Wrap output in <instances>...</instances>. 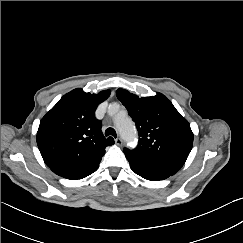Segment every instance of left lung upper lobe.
Returning <instances> with one entry per match:
<instances>
[{
  "instance_id": "1",
  "label": "left lung upper lobe",
  "mask_w": 243,
  "mask_h": 243,
  "mask_svg": "<svg viewBox=\"0 0 243 243\" xmlns=\"http://www.w3.org/2000/svg\"><path fill=\"white\" fill-rule=\"evenodd\" d=\"M117 98L136 123L139 142L134 154L184 164L193 144L190 124L161 93L139 98L125 89Z\"/></svg>"
}]
</instances>
